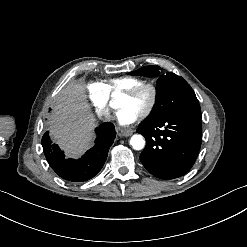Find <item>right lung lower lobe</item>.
<instances>
[{
	"instance_id": "right-lung-lower-lobe-1",
	"label": "right lung lower lobe",
	"mask_w": 247,
	"mask_h": 247,
	"mask_svg": "<svg viewBox=\"0 0 247 247\" xmlns=\"http://www.w3.org/2000/svg\"><path fill=\"white\" fill-rule=\"evenodd\" d=\"M95 145L78 160L66 159L57 144L52 143L47 131L42 138L45 157L52 169L63 179L82 182L93 178L103 167L110 146L116 137L114 125L105 122L96 128Z\"/></svg>"
}]
</instances>
